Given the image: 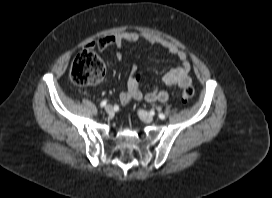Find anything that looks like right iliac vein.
<instances>
[{
  "instance_id": "1",
  "label": "right iliac vein",
  "mask_w": 272,
  "mask_h": 198,
  "mask_svg": "<svg viewBox=\"0 0 272 198\" xmlns=\"http://www.w3.org/2000/svg\"><path fill=\"white\" fill-rule=\"evenodd\" d=\"M105 111H106L108 114L112 113V112H113V107H112V105H107V106L105 107Z\"/></svg>"
}]
</instances>
